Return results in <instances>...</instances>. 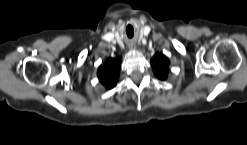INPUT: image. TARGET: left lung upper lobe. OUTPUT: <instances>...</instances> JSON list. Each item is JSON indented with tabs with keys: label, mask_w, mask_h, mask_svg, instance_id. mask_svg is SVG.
<instances>
[{
	"label": "left lung upper lobe",
	"mask_w": 247,
	"mask_h": 145,
	"mask_svg": "<svg viewBox=\"0 0 247 145\" xmlns=\"http://www.w3.org/2000/svg\"><path fill=\"white\" fill-rule=\"evenodd\" d=\"M151 64L155 75L161 80L166 79L170 64L168 58L162 53H158L152 58Z\"/></svg>",
	"instance_id": "obj_1"
}]
</instances>
